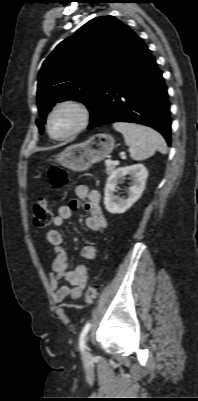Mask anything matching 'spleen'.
I'll use <instances>...</instances> for the list:
<instances>
[{
    "mask_svg": "<svg viewBox=\"0 0 198 401\" xmlns=\"http://www.w3.org/2000/svg\"><path fill=\"white\" fill-rule=\"evenodd\" d=\"M115 130L121 132L125 143L130 148V156L133 160L142 161L151 157L156 151L167 153L165 139L155 130L142 125L116 122Z\"/></svg>",
    "mask_w": 198,
    "mask_h": 401,
    "instance_id": "spleen-1",
    "label": "spleen"
}]
</instances>
